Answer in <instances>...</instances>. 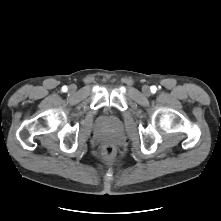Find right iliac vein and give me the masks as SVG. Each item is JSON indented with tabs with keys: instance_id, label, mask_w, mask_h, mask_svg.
Segmentation results:
<instances>
[{
	"instance_id": "obj_1",
	"label": "right iliac vein",
	"mask_w": 221,
	"mask_h": 221,
	"mask_svg": "<svg viewBox=\"0 0 221 221\" xmlns=\"http://www.w3.org/2000/svg\"><path fill=\"white\" fill-rule=\"evenodd\" d=\"M69 90H70V92H74L76 90V87L72 85V86H70Z\"/></svg>"
}]
</instances>
